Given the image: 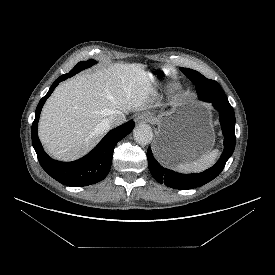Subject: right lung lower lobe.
<instances>
[{"label": "right lung lower lobe", "instance_id": "98d812e1", "mask_svg": "<svg viewBox=\"0 0 275 275\" xmlns=\"http://www.w3.org/2000/svg\"><path fill=\"white\" fill-rule=\"evenodd\" d=\"M73 74L62 75L51 85L48 93L40 100L35 120L32 124V144L42 168L58 182L71 186L83 187L103 180L110 171L115 145L129 134L135 126L133 120L111 130L100 143L86 156L74 162H59L50 158L39 141L37 126L41 109L59 82L72 77Z\"/></svg>", "mask_w": 275, "mask_h": 275}]
</instances>
